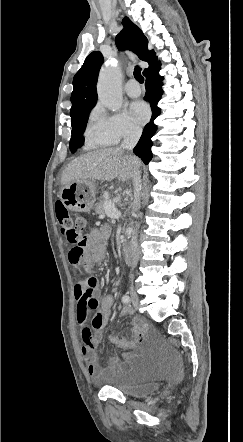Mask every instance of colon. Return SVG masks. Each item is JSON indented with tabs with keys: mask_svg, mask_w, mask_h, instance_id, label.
<instances>
[{
	"mask_svg": "<svg viewBox=\"0 0 243 442\" xmlns=\"http://www.w3.org/2000/svg\"><path fill=\"white\" fill-rule=\"evenodd\" d=\"M55 213L66 241L72 245L68 259L76 265L85 257V238L82 237L85 221L80 216L73 217L62 201L55 203Z\"/></svg>",
	"mask_w": 243,
	"mask_h": 442,
	"instance_id": "1",
	"label": "colon"
}]
</instances>
